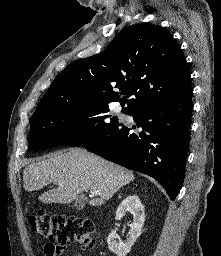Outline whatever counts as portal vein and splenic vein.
<instances>
[{
  "instance_id": "obj_1",
  "label": "portal vein and splenic vein",
  "mask_w": 221,
  "mask_h": 256,
  "mask_svg": "<svg viewBox=\"0 0 221 256\" xmlns=\"http://www.w3.org/2000/svg\"><path fill=\"white\" fill-rule=\"evenodd\" d=\"M90 193H91L92 195H98V191H97V190H95V189L90 190Z\"/></svg>"
}]
</instances>
